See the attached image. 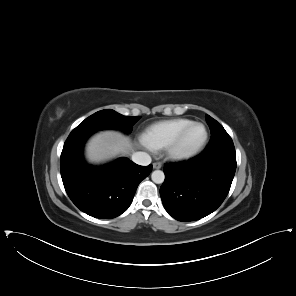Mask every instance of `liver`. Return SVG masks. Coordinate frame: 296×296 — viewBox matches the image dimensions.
I'll list each match as a JSON object with an SVG mask.
<instances>
[{
	"mask_svg": "<svg viewBox=\"0 0 296 296\" xmlns=\"http://www.w3.org/2000/svg\"><path fill=\"white\" fill-rule=\"evenodd\" d=\"M134 145L130 138L122 133L107 130L95 134L86 145V157L91 163L108 161L118 155L132 152Z\"/></svg>",
	"mask_w": 296,
	"mask_h": 296,
	"instance_id": "6515ba94",
	"label": "liver"
}]
</instances>
